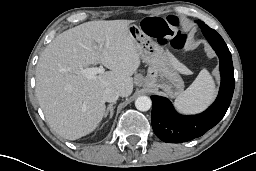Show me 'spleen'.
<instances>
[{"label": "spleen", "mask_w": 256, "mask_h": 171, "mask_svg": "<svg viewBox=\"0 0 256 171\" xmlns=\"http://www.w3.org/2000/svg\"><path fill=\"white\" fill-rule=\"evenodd\" d=\"M216 88L210 73L203 69L194 82L175 99L178 110L194 113L204 109L215 97Z\"/></svg>", "instance_id": "3e777b00"}]
</instances>
